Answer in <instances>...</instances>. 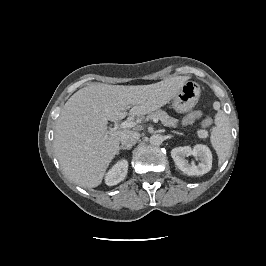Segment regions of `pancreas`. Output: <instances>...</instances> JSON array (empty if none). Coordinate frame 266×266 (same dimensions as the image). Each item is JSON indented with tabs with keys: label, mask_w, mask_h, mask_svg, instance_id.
<instances>
[{
	"label": "pancreas",
	"mask_w": 266,
	"mask_h": 266,
	"mask_svg": "<svg viewBox=\"0 0 266 266\" xmlns=\"http://www.w3.org/2000/svg\"><path fill=\"white\" fill-rule=\"evenodd\" d=\"M153 118H158L159 120H161L164 126L172 128L177 127L178 120L173 117H170L165 111L156 110L146 116V120H152Z\"/></svg>",
	"instance_id": "obj_1"
}]
</instances>
